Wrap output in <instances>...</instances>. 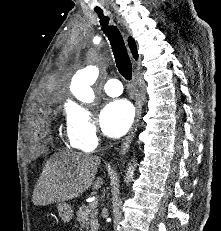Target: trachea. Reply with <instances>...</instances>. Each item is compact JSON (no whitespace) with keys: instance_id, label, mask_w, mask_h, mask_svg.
<instances>
[{"instance_id":"1","label":"trachea","mask_w":221,"mask_h":231,"mask_svg":"<svg viewBox=\"0 0 221 231\" xmlns=\"http://www.w3.org/2000/svg\"><path fill=\"white\" fill-rule=\"evenodd\" d=\"M103 32L108 37L112 46L116 66L119 73L127 80L132 77V64L128 56L123 37L116 26L108 25L109 18L103 15V11L97 10Z\"/></svg>"}]
</instances>
